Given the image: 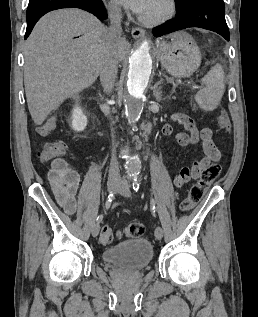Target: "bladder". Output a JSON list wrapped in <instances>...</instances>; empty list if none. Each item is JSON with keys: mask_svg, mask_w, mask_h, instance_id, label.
<instances>
[{"mask_svg": "<svg viewBox=\"0 0 258 317\" xmlns=\"http://www.w3.org/2000/svg\"><path fill=\"white\" fill-rule=\"evenodd\" d=\"M153 257V249L145 239H133L105 249L102 258L106 263L132 269L146 267Z\"/></svg>", "mask_w": 258, "mask_h": 317, "instance_id": "1", "label": "bladder"}]
</instances>
